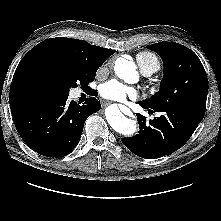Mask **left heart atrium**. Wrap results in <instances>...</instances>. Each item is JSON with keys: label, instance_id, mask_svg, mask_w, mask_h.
Listing matches in <instances>:
<instances>
[{"label": "left heart atrium", "instance_id": "1", "mask_svg": "<svg viewBox=\"0 0 221 221\" xmlns=\"http://www.w3.org/2000/svg\"><path fill=\"white\" fill-rule=\"evenodd\" d=\"M100 94L105 99L118 102L135 99L138 95L134 88L126 86L116 80H110L103 84L100 87Z\"/></svg>", "mask_w": 221, "mask_h": 221}]
</instances>
